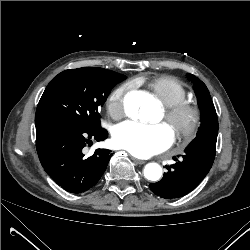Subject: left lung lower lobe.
<instances>
[{
    "instance_id": "1",
    "label": "left lung lower lobe",
    "mask_w": 250,
    "mask_h": 250,
    "mask_svg": "<svg viewBox=\"0 0 250 250\" xmlns=\"http://www.w3.org/2000/svg\"><path fill=\"white\" fill-rule=\"evenodd\" d=\"M217 132L197 137L177 161L164 173L161 181L150 184V189L163 198H178L194 189L207 175L215 158Z\"/></svg>"
}]
</instances>
